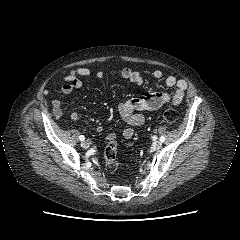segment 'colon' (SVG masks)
Returning a JSON list of instances; mask_svg holds the SVG:
<instances>
[{
	"label": "colon",
	"instance_id": "5ec220e1",
	"mask_svg": "<svg viewBox=\"0 0 240 240\" xmlns=\"http://www.w3.org/2000/svg\"><path fill=\"white\" fill-rule=\"evenodd\" d=\"M162 117L164 122L174 123L178 118V112L174 108L168 107L163 111ZM104 158L108 172L114 173L118 171L120 162L117 158V143L115 139L108 140L104 149Z\"/></svg>",
	"mask_w": 240,
	"mask_h": 240
}]
</instances>
